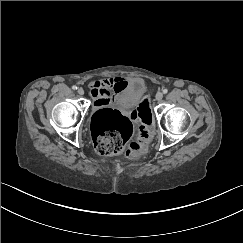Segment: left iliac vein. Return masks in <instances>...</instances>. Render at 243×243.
<instances>
[{
	"mask_svg": "<svg viewBox=\"0 0 243 243\" xmlns=\"http://www.w3.org/2000/svg\"><path fill=\"white\" fill-rule=\"evenodd\" d=\"M162 98H163V93L162 92H157V94H156V100L157 101H160V100H162Z\"/></svg>",
	"mask_w": 243,
	"mask_h": 243,
	"instance_id": "1",
	"label": "left iliac vein"
}]
</instances>
